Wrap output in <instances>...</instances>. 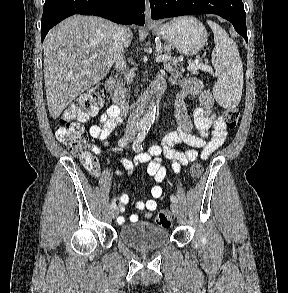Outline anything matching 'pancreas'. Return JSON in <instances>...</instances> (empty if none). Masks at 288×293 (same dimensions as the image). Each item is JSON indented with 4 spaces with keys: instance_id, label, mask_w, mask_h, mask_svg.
<instances>
[{
    "instance_id": "1",
    "label": "pancreas",
    "mask_w": 288,
    "mask_h": 293,
    "mask_svg": "<svg viewBox=\"0 0 288 293\" xmlns=\"http://www.w3.org/2000/svg\"><path fill=\"white\" fill-rule=\"evenodd\" d=\"M158 55H167L171 56L170 49L168 46H163L159 51ZM195 62L190 61L189 65L194 64ZM164 68L174 77L179 78L182 77V73L184 72V68H178V61L175 58H171L170 60L164 62Z\"/></svg>"
}]
</instances>
